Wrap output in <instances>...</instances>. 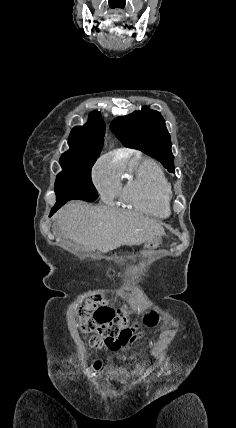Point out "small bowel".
<instances>
[{
    "mask_svg": "<svg viewBox=\"0 0 236 428\" xmlns=\"http://www.w3.org/2000/svg\"><path fill=\"white\" fill-rule=\"evenodd\" d=\"M141 336V334H139V333H136L135 335H133L132 337H130V339L123 345V346H120V348H118V349H121V348H124V347H127V346H132V348H136L135 347V341L139 338ZM117 349V350H118ZM101 368V362L100 361H96V363L94 364V371L96 372V371H99V369Z\"/></svg>",
    "mask_w": 236,
    "mask_h": 428,
    "instance_id": "c3829d8e",
    "label": "small bowel"
}]
</instances>
